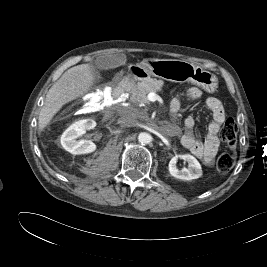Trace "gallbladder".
Returning <instances> with one entry per match:
<instances>
[{
  "label": "gallbladder",
  "mask_w": 267,
  "mask_h": 267,
  "mask_svg": "<svg viewBox=\"0 0 267 267\" xmlns=\"http://www.w3.org/2000/svg\"><path fill=\"white\" fill-rule=\"evenodd\" d=\"M121 62L118 60V57H106L101 56L97 59L95 65L93 66L94 72H98V70H107L112 67L117 66Z\"/></svg>",
  "instance_id": "gallbladder-1"
}]
</instances>
